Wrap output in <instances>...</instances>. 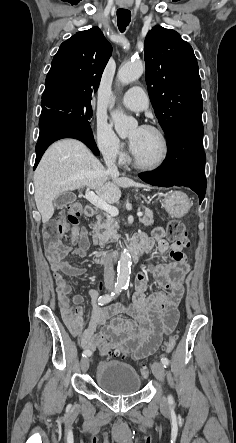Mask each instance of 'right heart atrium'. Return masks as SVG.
<instances>
[{
    "instance_id": "1",
    "label": "right heart atrium",
    "mask_w": 236,
    "mask_h": 443,
    "mask_svg": "<svg viewBox=\"0 0 236 443\" xmlns=\"http://www.w3.org/2000/svg\"><path fill=\"white\" fill-rule=\"evenodd\" d=\"M95 143L102 155L110 160H121L124 146L115 133L103 121H98L94 130Z\"/></svg>"
}]
</instances>
